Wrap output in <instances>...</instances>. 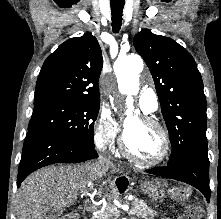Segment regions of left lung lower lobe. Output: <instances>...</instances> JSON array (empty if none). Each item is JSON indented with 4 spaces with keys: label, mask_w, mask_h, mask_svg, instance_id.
<instances>
[{
    "label": "left lung lower lobe",
    "mask_w": 221,
    "mask_h": 219,
    "mask_svg": "<svg viewBox=\"0 0 221 219\" xmlns=\"http://www.w3.org/2000/svg\"><path fill=\"white\" fill-rule=\"evenodd\" d=\"M147 173L164 178L175 179L190 184L200 190L209 202V159L207 149H193L178 163L149 169Z\"/></svg>",
    "instance_id": "1"
}]
</instances>
